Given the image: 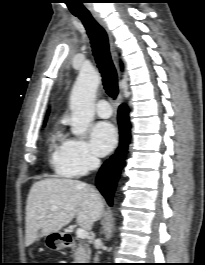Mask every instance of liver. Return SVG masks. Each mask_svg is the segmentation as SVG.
<instances>
[{
	"instance_id": "1",
	"label": "liver",
	"mask_w": 205,
	"mask_h": 265,
	"mask_svg": "<svg viewBox=\"0 0 205 265\" xmlns=\"http://www.w3.org/2000/svg\"><path fill=\"white\" fill-rule=\"evenodd\" d=\"M104 203L92 186L72 179H44L35 182L26 204L25 246L39 236L58 232L75 217L85 230L103 214Z\"/></svg>"
}]
</instances>
